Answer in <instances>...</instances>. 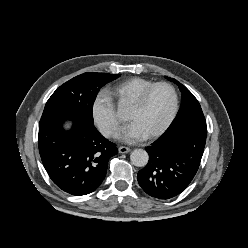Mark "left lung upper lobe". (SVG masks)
Returning a JSON list of instances; mask_svg holds the SVG:
<instances>
[{"label": "left lung upper lobe", "mask_w": 248, "mask_h": 248, "mask_svg": "<svg viewBox=\"0 0 248 248\" xmlns=\"http://www.w3.org/2000/svg\"><path fill=\"white\" fill-rule=\"evenodd\" d=\"M166 78L176 83L179 86L180 91L182 92L181 108L176 118L173 120V122L166 131L175 129L176 127L185 124L206 126L204 114L195 96L177 80L169 77Z\"/></svg>", "instance_id": "1"}]
</instances>
